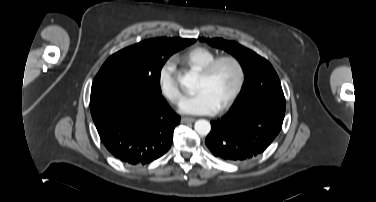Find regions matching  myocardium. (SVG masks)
Listing matches in <instances>:
<instances>
[{
  "label": "myocardium",
  "mask_w": 376,
  "mask_h": 202,
  "mask_svg": "<svg viewBox=\"0 0 376 202\" xmlns=\"http://www.w3.org/2000/svg\"><path fill=\"white\" fill-rule=\"evenodd\" d=\"M224 62H229L235 67L237 72V82L227 100L219 107V111H225L230 108L241 93L246 81V71L244 65L236 56L223 55L216 57L199 71V75L209 78L213 75L217 67Z\"/></svg>",
  "instance_id": "f54148a6"
}]
</instances>
